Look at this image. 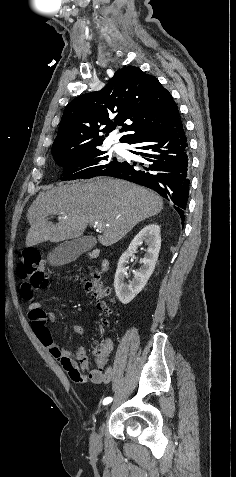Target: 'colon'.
Returning <instances> with one entry per match:
<instances>
[{"label": "colon", "instance_id": "obj_1", "mask_svg": "<svg viewBox=\"0 0 236 477\" xmlns=\"http://www.w3.org/2000/svg\"><path fill=\"white\" fill-rule=\"evenodd\" d=\"M17 276L21 281L19 287L20 296L25 301L33 299L34 291L49 285V275L42 265V255L34 248L25 250L19 257L17 264ZM85 291L94 299L96 307L101 312L110 309L107 300L109 289L104 286L99 272H92L82 280ZM99 366L104 365L102 350H96Z\"/></svg>", "mask_w": 236, "mask_h": 477}]
</instances>
